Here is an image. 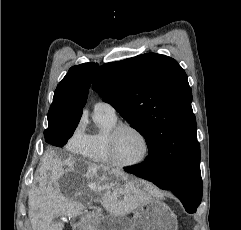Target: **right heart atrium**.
<instances>
[{
    "instance_id": "obj_1",
    "label": "right heart atrium",
    "mask_w": 241,
    "mask_h": 230,
    "mask_svg": "<svg viewBox=\"0 0 241 230\" xmlns=\"http://www.w3.org/2000/svg\"><path fill=\"white\" fill-rule=\"evenodd\" d=\"M87 134L81 125L77 126L69 137L66 147L74 153H81L86 145Z\"/></svg>"
}]
</instances>
